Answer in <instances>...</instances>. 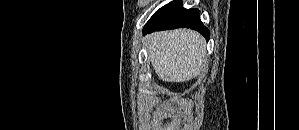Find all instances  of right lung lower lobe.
I'll return each instance as SVG.
<instances>
[{"mask_svg": "<svg viewBox=\"0 0 299 130\" xmlns=\"http://www.w3.org/2000/svg\"><path fill=\"white\" fill-rule=\"evenodd\" d=\"M186 27L200 32L208 41L210 32L200 20L198 9H185L182 2L173 1L162 8L149 19L143 28V33Z\"/></svg>", "mask_w": 299, "mask_h": 130, "instance_id": "right-lung-lower-lobe-1", "label": "right lung lower lobe"}]
</instances>
